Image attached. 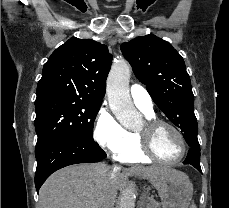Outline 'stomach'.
Listing matches in <instances>:
<instances>
[{"instance_id":"stomach-1","label":"stomach","mask_w":229,"mask_h":208,"mask_svg":"<svg viewBox=\"0 0 229 208\" xmlns=\"http://www.w3.org/2000/svg\"><path fill=\"white\" fill-rule=\"evenodd\" d=\"M144 178V176H143ZM156 188L162 208H189L193 196V186L188 176L181 178H145Z\"/></svg>"}]
</instances>
